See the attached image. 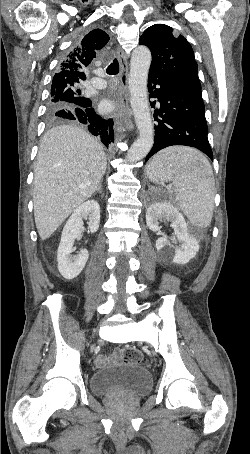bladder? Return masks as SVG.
<instances>
[{"label":"bladder","mask_w":250,"mask_h":454,"mask_svg":"<svg viewBox=\"0 0 250 454\" xmlns=\"http://www.w3.org/2000/svg\"><path fill=\"white\" fill-rule=\"evenodd\" d=\"M89 387L97 397H141L151 391L152 377L142 365L118 363L93 372Z\"/></svg>","instance_id":"1"}]
</instances>
